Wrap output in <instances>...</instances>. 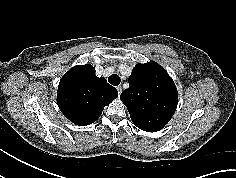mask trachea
<instances>
[{"label":"trachea","mask_w":236,"mask_h":178,"mask_svg":"<svg viewBox=\"0 0 236 178\" xmlns=\"http://www.w3.org/2000/svg\"><path fill=\"white\" fill-rule=\"evenodd\" d=\"M120 77L117 74H112L109 78H108V82L114 86H118L120 84Z\"/></svg>","instance_id":"3493384b"}]
</instances>
